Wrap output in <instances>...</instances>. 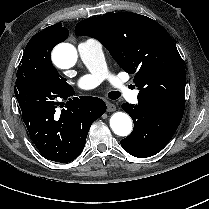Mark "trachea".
I'll use <instances>...</instances> for the list:
<instances>
[{
  "instance_id": "1",
  "label": "trachea",
  "mask_w": 209,
  "mask_h": 209,
  "mask_svg": "<svg viewBox=\"0 0 209 209\" xmlns=\"http://www.w3.org/2000/svg\"><path fill=\"white\" fill-rule=\"evenodd\" d=\"M108 97L112 100H116L120 97V93L117 91H112V92L108 93Z\"/></svg>"
}]
</instances>
